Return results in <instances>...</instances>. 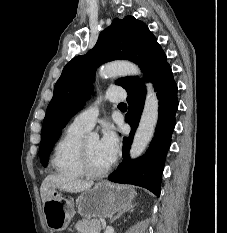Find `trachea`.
Segmentation results:
<instances>
[{
	"instance_id": "1",
	"label": "trachea",
	"mask_w": 227,
	"mask_h": 233,
	"mask_svg": "<svg viewBox=\"0 0 227 233\" xmlns=\"http://www.w3.org/2000/svg\"><path fill=\"white\" fill-rule=\"evenodd\" d=\"M119 106H126L125 103H119Z\"/></svg>"
}]
</instances>
